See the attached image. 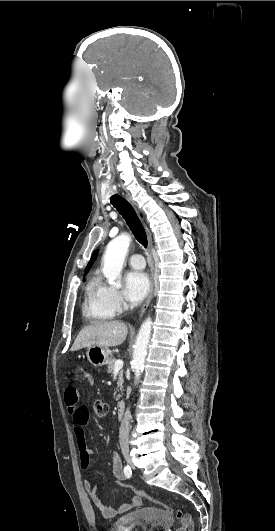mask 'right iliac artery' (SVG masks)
Listing matches in <instances>:
<instances>
[{
  "instance_id": "right-iliac-artery-1",
  "label": "right iliac artery",
  "mask_w": 275,
  "mask_h": 531,
  "mask_svg": "<svg viewBox=\"0 0 275 531\" xmlns=\"http://www.w3.org/2000/svg\"><path fill=\"white\" fill-rule=\"evenodd\" d=\"M124 474L127 478H130L132 476V470H131V467L129 465H126L124 467Z\"/></svg>"
}]
</instances>
